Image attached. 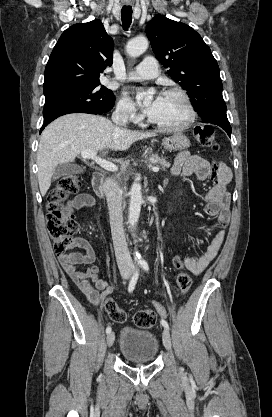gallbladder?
<instances>
[{
    "instance_id": "obj_1",
    "label": "gallbladder",
    "mask_w": 272,
    "mask_h": 417,
    "mask_svg": "<svg viewBox=\"0 0 272 417\" xmlns=\"http://www.w3.org/2000/svg\"><path fill=\"white\" fill-rule=\"evenodd\" d=\"M83 171H84V168L78 165L70 164V163H62V164H59L55 168L53 177L57 179L61 176H71L74 174L82 173Z\"/></svg>"
}]
</instances>
